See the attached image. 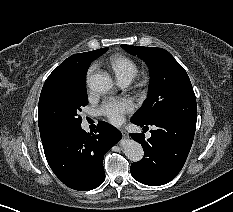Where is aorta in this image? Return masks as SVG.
Here are the masks:
<instances>
[{
	"label": "aorta",
	"instance_id": "obj_1",
	"mask_svg": "<svg viewBox=\"0 0 233 212\" xmlns=\"http://www.w3.org/2000/svg\"><path fill=\"white\" fill-rule=\"evenodd\" d=\"M88 85L94 92L106 93L113 87V80L106 74L96 73L90 76ZM120 145L126 157L132 162H138L143 158L144 150L138 142L124 139Z\"/></svg>",
	"mask_w": 233,
	"mask_h": 212
}]
</instances>
